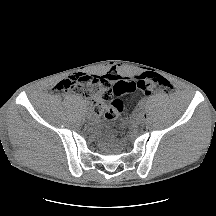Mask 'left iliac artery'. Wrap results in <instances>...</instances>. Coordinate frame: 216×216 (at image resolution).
Instances as JSON below:
<instances>
[{
	"instance_id": "44dca946",
	"label": "left iliac artery",
	"mask_w": 216,
	"mask_h": 216,
	"mask_svg": "<svg viewBox=\"0 0 216 216\" xmlns=\"http://www.w3.org/2000/svg\"><path fill=\"white\" fill-rule=\"evenodd\" d=\"M144 107V102L141 101L140 104H139V109L143 108Z\"/></svg>"
}]
</instances>
